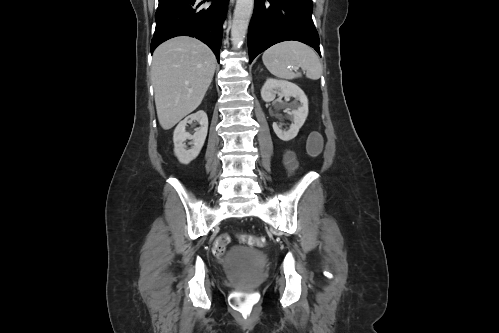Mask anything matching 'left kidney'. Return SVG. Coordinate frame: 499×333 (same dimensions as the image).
Returning <instances> with one entry per match:
<instances>
[{"label": "left kidney", "instance_id": "5707ae66", "mask_svg": "<svg viewBox=\"0 0 499 333\" xmlns=\"http://www.w3.org/2000/svg\"><path fill=\"white\" fill-rule=\"evenodd\" d=\"M276 94L285 98L294 97L296 101L292 105L291 120L292 124L288 130L282 129V124L273 123V130L276 135L283 141H289L295 138L299 129L303 126L308 116V99L303 90L294 83L267 79L261 89V97L265 102H271L275 99Z\"/></svg>", "mask_w": 499, "mask_h": 333}]
</instances>
